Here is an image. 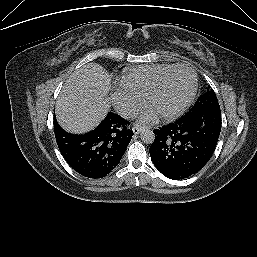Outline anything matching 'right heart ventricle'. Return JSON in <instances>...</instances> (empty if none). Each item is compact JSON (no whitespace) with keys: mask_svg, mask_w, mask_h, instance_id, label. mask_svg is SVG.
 I'll list each match as a JSON object with an SVG mask.
<instances>
[{"mask_svg":"<svg viewBox=\"0 0 257 257\" xmlns=\"http://www.w3.org/2000/svg\"><path fill=\"white\" fill-rule=\"evenodd\" d=\"M172 66L152 64L128 68L120 78V88L144 99L155 80Z\"/></svg>","mask_w":257,"mask_h":257,"instance_id":"e07e8e85","label":"right heart ventricle"}]
</instances>
